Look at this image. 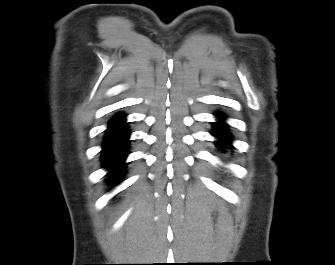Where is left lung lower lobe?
I'll return each mask as SVG.
<instances>
[{
	"label": "left lung lower lobe",
	"mask_w": 335,
	"mask_h": 265,
	"mask_svg": "<svg viewBox=\"0 0 335 265\" xmlns=\"http://www.w3.org/2000/svg\"><path fill=\"white\" fill-rule=\"evenodd\" d=\"M217 116L219 118L223 117L222 114H218ZM212 135L218 138L220 142L223 144V146H221L222 152H225V147L232 148L231 145L232 137L226 129V124H224L223 122H218L215 124Z\"/></svg>",
	"instance_id": "obj_1"
}]
</instances>
